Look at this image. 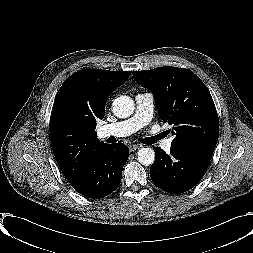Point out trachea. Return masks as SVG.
<instances>
[{
  "label": "trachea",
  "instance_id": "3493384b",
  "mask_svg": "<svg viewBox=\"0 0 253 253\" xmlns=\"http://www.w3.org/2000/svg\"><path fill=\"white\" fill-rule=\"evenodd\" d=\"M162 134H159L157 136H154V137H149V138H145L143 139L142 143L144 144H153V143H156L160 138H162Z\"/></svg>",
  "mask_w": 253,
  "mask_h": 253
}]
</instances>
